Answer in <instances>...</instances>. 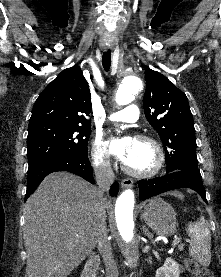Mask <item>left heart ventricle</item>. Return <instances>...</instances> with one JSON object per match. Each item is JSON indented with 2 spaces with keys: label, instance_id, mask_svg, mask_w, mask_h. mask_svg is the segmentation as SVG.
<instances>
[{
  "label": "left heart ventricle",
  "instance_id": "left-heart-ventricle-1",
  "mask_svg": "<svg viewBox=\"0 0 221 277\" xmlns=\"http://www.w3.org/2000/svg\"><path fill=\"white\" fill-rule=\"evenodd\" d=\"M155 160V152L148 143L134 140L131 151L123 162L133 170L147 171L154 166Z\"/></svg>",
  "mask_w": 221,
  "mask_h": 277
}]
</instances>
